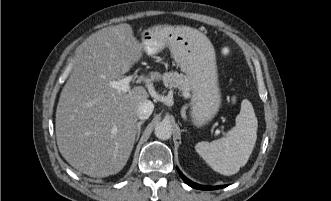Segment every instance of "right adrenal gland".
Returning a JSON list of instances; mask_svg holds the SVG:
<instances>
[{
    "instance_id": "obj_1",
    "label": "right adrenal gland",
    "mask_w": 331,
    "mask_h": 201,
    "mask_svg": "<svg viewBox=\"0 0 331 201\" xmlns=\"http://www.w3.org/2000/svg\"><path fill=\"white\" fill-rule=\"evenodd\" d=\"M145 121H139L137 123V136H136V141L139 139V136H140V132H141V125L144 123Z\"/></svg>"
}]
</instances>
